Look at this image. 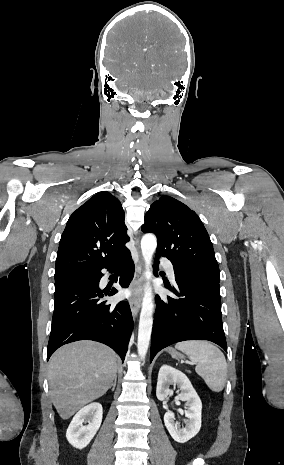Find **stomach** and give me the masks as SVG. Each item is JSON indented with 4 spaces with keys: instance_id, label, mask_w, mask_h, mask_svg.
Instances as JSON below:
<instances>
[{
    "instance_id": "obj_1",
    "label": "stomach",
    "mask_w": 284,
    "mask_h": 465,
    "mask_svg": "<svg viewBox=\"0 0 284 465\" xmlns=\"http://www.w3.org/2000/svg\"><path fill=\"white\" fill-rule=\"evenodd\" d=\"M168 353H170L172 359H184V355L178 353V351H174V349H168Z\"/></svg>"
}]
</instances>
